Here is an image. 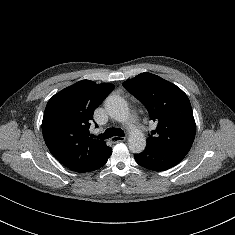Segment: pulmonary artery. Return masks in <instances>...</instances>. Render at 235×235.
<instances>
[{"label":"pulmonary artery","mask_w":235,"mask_h":235,"mask_svg":"<svg viewBox=\"0 0 235 235\" xmlns=\"http://www.w3.org/2000/svg\"><path fill=\"white\" fill-rule=\"evenodd\" d=\"M132 120H133V122H136V119H135V117H133V119H132Z\"/></svg>","instance_id":"pulmonary-artery-1"}]
</instances>
